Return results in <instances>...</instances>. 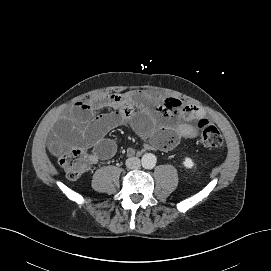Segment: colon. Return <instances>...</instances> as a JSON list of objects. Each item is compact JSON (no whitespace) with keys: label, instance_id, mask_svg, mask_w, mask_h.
<instances>
[{"label":"colon","instance_id":"5ec220e1","mask_svg":"<svg viewBox=\"0 0 271 271\" xmlns=\"http://www.w3.org/2000/svg\"><path fill=\"white\" fill-rule=\"evenodd\" d=\"M200 132L202 143L209 148H218L223 144V137L217 127L209 120L202 118L196 123ZM92 159L82 149H74L64 154L60 159V165L70 179H77L86 174Z\"/></svg>","mask_w":271,"mask_h":271}]
</instances>
